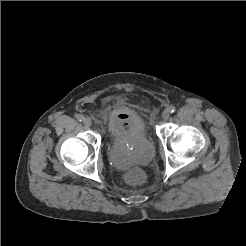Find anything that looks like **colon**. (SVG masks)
<instances>
[{
	"instance_id": "obj_1",
	"label": "colon",
	"mask_w": 246,
	"mask_h": 246,
	"mask_svg": "<svg viewBox=\"0 0 246 246\" xmlns=\"http://www.w3.org/2000/svg\"><path fill=\"white\" fill-rule=\"evenodd\" d=\"M144 179L145 175L139 169H133L126 174V181L133 185L142 183Z\"/></svg>"
}]
</instances>
